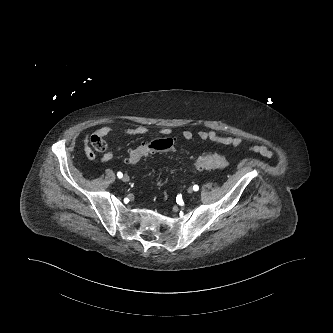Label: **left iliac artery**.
Here are the masks:
<instances>
[{"mask_svg":"<svg viewBox=\"0 0 333 333\" xmlns=\"http://www.w3.org/2000/svg\"><path fill=\"white\" fill-rule=\"evenodd\" d=\"M193 190H194V191H198V190H199V186H198V185H194V186H193Z\"/></svg>","mask_w":333,"mask_h":333,"instance_id":"1","label":"left iliac artery"}]
</instances>
